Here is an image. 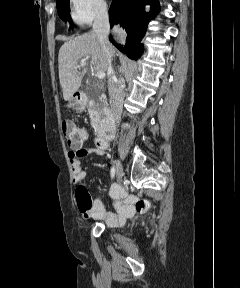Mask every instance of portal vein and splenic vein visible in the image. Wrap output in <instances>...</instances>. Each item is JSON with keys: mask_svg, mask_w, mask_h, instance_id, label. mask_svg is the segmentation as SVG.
I'll list each match as a JSON object with an SVG mask.
<instances>
[{"mask_svg": "<svg viewBox=\"0 0 240 288\" xmlns=\"http://www.w3.org/2000/svg\"><path fill=\"white\" fill-rule=\"evenodd\" d=\"M86 65H88V63L85 60H81L80 64L77 66V69H81L83 67H85ZM97 77L102 80L105 77V73L104 72H97Z\"/></svg>", "mask_w": 240, "mask_h": 288, "instance_id": "18ae733b", "label": "portal vein and splenic vein"}]
</instances>
